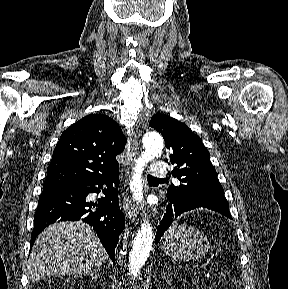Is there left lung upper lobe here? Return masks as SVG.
Masks as SVG:
<instances>
[{"instance_id":"left-lung-upper-lobe-1","label":"left lung upper lobe","mask_w":288,"mask_h":289,"mask_svg":"<svg viewBox=\"0 0 288 289\" xmlns=\"http://www.w3.org/2000/svg\"><path fill=\"white\" fill-rule=\"evenodd\" d=\"M149 126L162 134L171 153L170 163L175 165L172 175L181 182L179 186L171 185L167 189L168 199L203 205L230 215L229 204L210 161L209 151L200 137L186 124L165 114L153 115Z\"/></svg>"}]
</instances>
